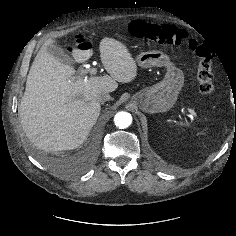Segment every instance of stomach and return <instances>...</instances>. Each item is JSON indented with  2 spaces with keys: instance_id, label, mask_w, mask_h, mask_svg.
Returning a JSON list of instances; mask_svg holds the SVG:
<instances>
[{
  "instance_id": "0dacf381",
  "label": "stomach",
  "mask_w": 236,
  "mask_h": 236,
  "mask_svg": "<svg viewBox=\"0 0 236 236\" xmlns=\"http://www.w3.org/2000/svg\"><path fill=\"white\" fill-rule=\"evenodd\" d=\"M136 60L142 68L166 67L167 71L162 81L137 92L132 98L133 102L141 110L150 114L171 109L184 84L182 70L171 62L166 53L159 50L142 52Z\"/></svg>"
}]
</instances>
